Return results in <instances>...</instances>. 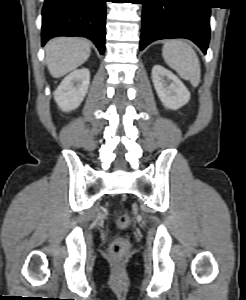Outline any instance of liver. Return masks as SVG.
Here are the masks:
<instances>
[{"instance_id": "liver-1", "label": "liver", "mask_w": 246, "mask_h": 300, "mask_svg": "<svg viewBox=\"0 0 246 300\" xmlns=\"http://www.w3.org/2000/svg\"><path fill=\"white\" fill-rule=\"evenodd\" d=\"M46 65L54 78H59L82 65L90 57V43L76 37H57L45 47Z\"/></svg>"}]
</instances>
